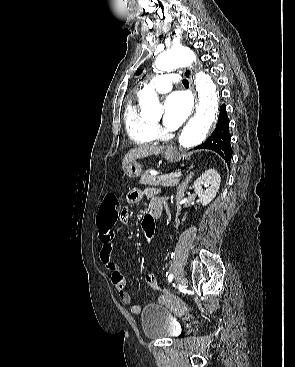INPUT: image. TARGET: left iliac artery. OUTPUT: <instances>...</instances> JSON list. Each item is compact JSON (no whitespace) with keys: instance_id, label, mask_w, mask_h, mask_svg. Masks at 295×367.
<instances>
[{"instance_id":"44dca946","label":"left iliac artery","mask_w":295,"mask_h":367,"mask_svg":"<svg viewBox=\"0 0 295 367\" xmlns=\"http://www.w3.org/2000/svg\"><path fill=\"white\" fill-rule=\"evenodd\" d=\"M173 280V274H170L169 276H168V281L169 282H171Z\"/></svg>"}]
</instances>
